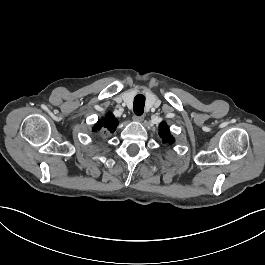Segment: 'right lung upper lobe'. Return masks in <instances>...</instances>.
<instances>
[{
    "mask_svg": "<svg viewBox=\"0 0 265 265\" xmlns=\"http://www.w3.org/2000/svg\"><path fill=\"white\" fill-rule=\"evenodd\" d=\"M117 125H118V120L114 117V115L111 112H109L105 115V117L100 119L95 124V126L93 127V132H97L103 128L105 133L109 134L114 133Z\"/></svg>",
    "mask_w": 265,
    "mask_h": 265,
    "instance_id": "right-lung-upper-lobe-1",
    "label": "right lung upper lobe"
}]
</instances>
